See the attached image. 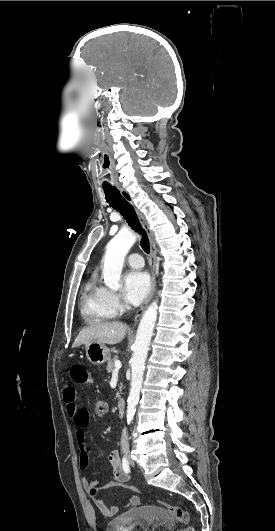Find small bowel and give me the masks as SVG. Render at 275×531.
I'll return each instance as SVG.
<instances>
[{
  "label": "small bowel",
  "mask_w": 275,
  "mask_h": 531,
  "mask_svg": "<svg viewBox=\"0 0 275 531\" xmlns=\"http://www.w3.org/2000/svg\"><path fill=\"white\" fill-rule=\"evenodd\" d=\"M68 372L71 373L72 383H91L94 380L93 375L89 374V371L84 367L76 368L75 365L70 364L67 367ZM64 401L67 408L68 415L72 418L76 426V437L80 447L79 467L82 470H86L91 464V449L87 446L84 429L89 424V414L85 408H81L77 404L76 390L73 386H68L64 390ZM107 463L111 467L113 478L120 480H130L129 472L123 467L120 453L117 450H113L107 457ZM83 486L90 490L94 487V484L87 478H83ZM93 504L98 511L107 518L113 517L119 513L122 508L137 507L141 504V500L138 496H132L127 504L108 505L102 499L93 497Z\"/></svg>",
  "instance_id": "1"
}]
</instances>
